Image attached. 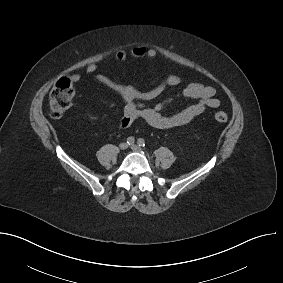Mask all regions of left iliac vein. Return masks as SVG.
Masks as SVG:
<instances>
[{
    "mask_svg": "<svg viewBox=\"0 0 283 283\" xmlns=\"http://www.w3.org/2000/svg\"><path fill=\"white\" fill-rule=\"evenodd\" d=\"M131 149L138 152L142 151V148L136 144L131 145Z\"/></svg>",
    "mask_w": 283,
    "mask_h": 283,
    "instance_id": "obj_1",
    "label": "left iliac vein"
}]
</instances>
